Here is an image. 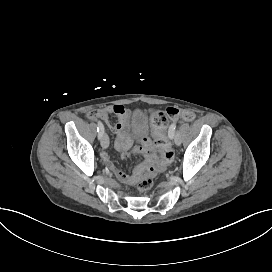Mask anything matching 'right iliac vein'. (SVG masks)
I'll return each mask as SVG.
<instances>
[{
    "label": "right iliac vein",
    "mask_w": 272,
    "mask_h": 272,
    "mask_svg": "<svg viewBox=\"0 0 272 272\" xmlns=\"http://www.w3.org/2000/svg\"><path fill=\"white\" fill-rule=\"evenodd\" d=\"M100 141H101L102 148H104V149L108 148V146H109V138H108V135L106 133H103Z\"/></svg>",
    "instance_id": "right-iliac-vein-1"
}]
</instances>
